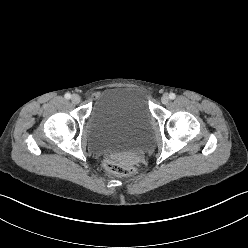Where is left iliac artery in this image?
I'll return each mask as SVG.
<instances>
[{"mask_svg":"<svg viewBox=\"0 0 248 248\" xmlns=\"http://www.w3.org/2000/svg\"><path fill=\"white\" fill-rule=\"evenodd\" d=\"M175 97H176L175 93H170V94H169V98H170V99H175Z\"/></svg>","mask_w":248,"mask_h":248,"instance_id":"44dca946","label":"left iliac artery"}]
</instances>
